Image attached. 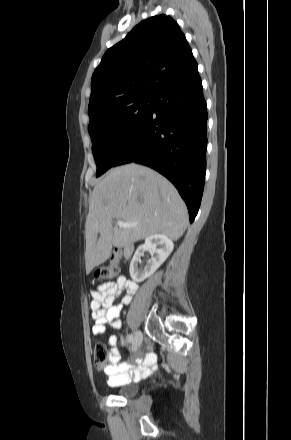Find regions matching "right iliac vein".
Here are the masks:
<instances>
[{
	"instance_id": "obj_1",
	"label": "right iliac vein",
	"mask_w": 291,
	"mask_h": 440,
	"mask_svg": "<svg viewBox=\"0 0 291 440\" xmlns=\"http://www.w3.org/2000/svg\"><path fill=\"white\" fill-rule=\"evenodd\" d=\"M142 340H143V335L140 331H137L135 333V337L133 340V351H136L142 344Z\"/></svg>"
}]
</instances>
